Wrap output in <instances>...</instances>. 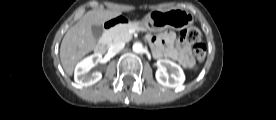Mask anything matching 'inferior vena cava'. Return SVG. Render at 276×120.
Returning <instances> with one entry per match:
<instances>
[{
	"label": "inferior vena cava",
	"instance_id": "inferior-vena-cava-1",
	"mask_svg": "<svg viewBox=\"0 0 276 120\" xmlns=\"http://www.w3.org/2000/svg\"><path fill=\"white\" fill-rule=\"evenodd\" d=\"M125 44L123 42H117L110 46L109 52L111 54H117L119 51H121L124 48Z\"/></svg>",
	"mask_w": 276,
	"mask_h": 120
}]
</instances>
